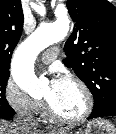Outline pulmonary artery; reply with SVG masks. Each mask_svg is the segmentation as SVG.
<instances>
[{
	"label": "pulmonary artery",
	"instance_id": "1",
	"mask_svg": "<svg viewBox=\"0 0 116 134\" xmlns=\"http://www.w3.org/2000/svg\"><path fill=\"white\" fill-rule=\"evenodd\" d=\"M58 49L56 47L46 50L42 54V61L46 64L51 63L57 57Z\"/></svg>",
	"mask_w": 116,
	"mask_h": 134
}]
</instances>
